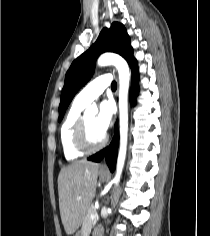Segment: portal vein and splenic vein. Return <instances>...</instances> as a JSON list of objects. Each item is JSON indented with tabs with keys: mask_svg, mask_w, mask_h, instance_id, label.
I'll return each mask as SVG.
<instances>
[{
	"mask_svg": "<svg viewBox=\"0 0 210 236\" xmlns=\"http://www.w3.org/2000/svg\"><path fill=\"white\" fill-rule=\"evenodd\" d=\"M78 199H80V198H78ZM98 215L95 213V214H92L91 216H90V218L92 219V220H95V219H98Z\"/></svg>",
	"mask_w": 210,
	"mask_h": 236,
	"instance_id": "18ae733b",
	"label": "portal vein and splenic vein"
}]
</instances>
